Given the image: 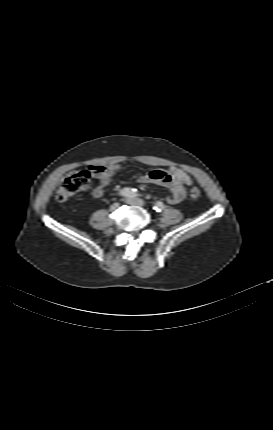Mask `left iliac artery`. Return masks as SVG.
Returning <instances> with one entry per match:
<instances>
[{
  "mask_svg": "<svg viewBox=\"0 0 273 430\" xmlns=\"http://www.w3.org/2000/svg\"><path fill=\"white\" fill-rule=\"evenodd\" d=\"M164 208H165V205H164L162 202H160V201H157V202L155 203V206L153 207V209H154L156 212H161L162 210H164Z\"/></svg>",
  "mask_w": 273,
  "mask_h": 430,
  "instance_id": "44dca946",
  "label": "left iliac artery"
}]
</instances>
